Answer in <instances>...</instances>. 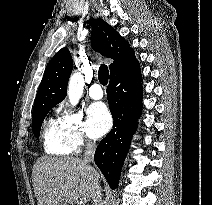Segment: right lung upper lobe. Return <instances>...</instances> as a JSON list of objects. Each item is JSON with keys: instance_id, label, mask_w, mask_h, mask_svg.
Returning a JSON list of instances; mask_svg holds the SVG:
<instances>
[{"instance_id": "right-lung-upper-lobe-1", "label": "right lung upper lobe", "mask_w": 212, "mask_h": 205, "mask_svg": "<svg viewBox=\"0 0 212 205\" xmlns=\"http://www.w3.org/2000/svg\"><path fill=\"white\" fill-rule=\"evenodd\" d=\"M91 45L94 50L114 60L109 66L110 74L136 59L133 49L124 37L101 18L93 22ZM72 68L73 61L69 50L60 49L46 67L34 108L56 105L63 101L67 94V84Z\"/></svg>"}]
</instances>
